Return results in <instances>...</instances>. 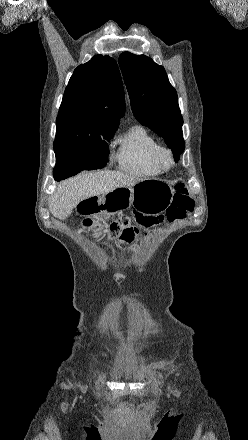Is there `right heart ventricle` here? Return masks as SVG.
<instances>
[{
  "label": "right heart ventricle",
  "mask_w": 248,
  "mask_h": 440,
  "mask_svg": "<svg viewBox=\"0 0 248 440\" xmlns=\"http://www.w3.org/2000/svg\"><path fill=\"white\" fill-rule=\"evenodd\" d=\"M114 159L119 170L138 177L161 174L153 162V153L160 146L142 126L131 127L116 140Z\"/></svg>",
  "instance_id": "obj_1"
}]
</instances>
